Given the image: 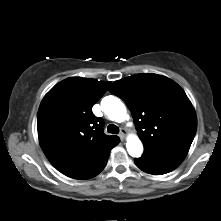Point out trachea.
Here are the masks:
<instances>
[{"instance_id": "1", "label": "trachea", "mask_w": 221, "mask_h": 221, "mask_svg": "<svg viewBox=\"0 0 221 221\" xmlns=\"http://www.w3.org/2000/svg\"><path fill=\"white\" fill-rule=\"evenodd\" d=\"M107 131H108V133L118 134L119 133V128L114 124H110L107 127Z\"/></svg>"}]
</instances>
